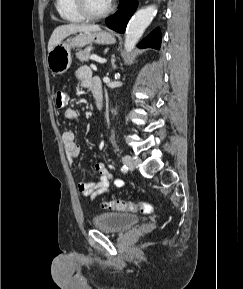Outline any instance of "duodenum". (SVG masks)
Masks as SVG:
<instances>
[{
	"label": "duodenum",
	"instance_id": "410a0bca",
	"mask_svg": "<svg viewBox=\"0 0 243 289\" xmlns=\"http://www.w3.org/2000/svg\"><path fill=\"white\" fill-rule=\"evenodd\" d=\"M93 99L97 110H101L103 107V95L101 87H97L93 90Z\"/></svg>",
	"mask_w": 243,
	"mask_h": 289
}]
</instances>
